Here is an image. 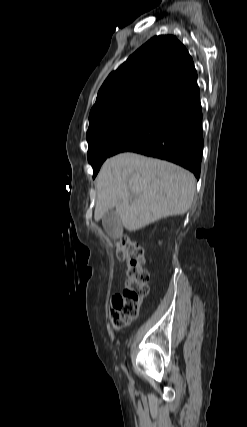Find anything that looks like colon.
<instances>
[{"label": "colon", "mask_w": 247, "mask_h": 427, "mask_svg": "<svg viewBox=\"0 0 247 427\" xmlns=\"http://www.w3.org/2000/svg\"><path fill=\"white\" fill-rule=\"evenodd\" d=\"M115 246L117 258L127 262L124 290L113 296L110 307L111 323L115 329H121L137 317L149 291V273L144 268L145 257L140 244L122 236Z\"/></svg>", "instance_id": "obj_1"}]
</instances>
